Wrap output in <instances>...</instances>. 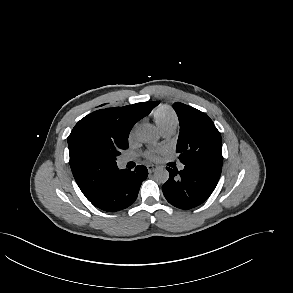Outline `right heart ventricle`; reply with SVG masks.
I'll return each mask as SVG.
<instances>
[{
  "mask_svg": "<svg viewBox=\"0 0 293 293\" xmlns=\"http://www.w3.org/2000/svg\"><path fill=\"white\" fill-rule=\"evenodd\" d=\"M153 119L160 131L167 129H176L178 117L173 109L167 105L156 108L152 113Z\"/></svg>",
  "mask_w": 293,
  "mask_h": 293,
  "instance_id": "1",
  "label": "right heart ventricle"
}]
</instances>
